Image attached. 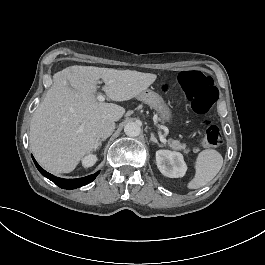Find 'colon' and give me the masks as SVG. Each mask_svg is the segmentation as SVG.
<instances>
[{"label": "colon", "instance_id": "5ec220e1", "mask_svg": "<svg viewBox=\"0 0 265 265\" xmlns=\"http://www.w3.org/2000/svg\"><path fill=\"white\" fill-rule=\"evenodd\" d=\"M181 87L192 110L198 115L207 114L219 97V91L209 74L200 68L188 70L182 77ZM201 125L204 129L205 143L213 148L222 147L224 141L218 125L210 120H204Z\"/></svg>", "mask_w": 265, "mask_h": 265}]
</instances>
